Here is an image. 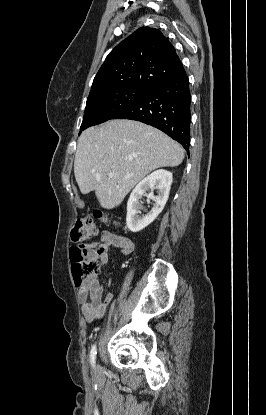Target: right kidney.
Masks as SVG:
<instances>
[{
  "label": "right kidney",
  "instance_id": "right-kidney-1",
  "mask_svg": "<svg viewBox=\"0 0 266 415\" xmlns=\"http://www.w3.org/2000/svg\"><path fill=\"white\" fill-rule=\"evenodd\" d=\"M172 184V173L163 169L154 171L143 180H141L130 194L127 203L126 223L129 230L139 232L151 224L162 212L168 197ZM157 190L158 195L154 196L153 190ZM151 190L148 197L155 201L152 209L145 216L140 217L138 213L143 206L139 199Z\"/></svg>",
  "mask_w": 266,
  "mask_h": 415
}]
</instances>
